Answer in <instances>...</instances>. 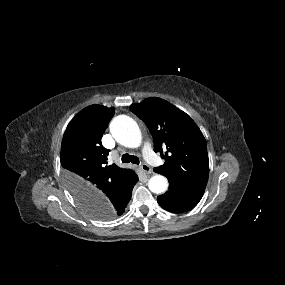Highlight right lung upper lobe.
<instances>
[{
	"label": "right lung upper lobe",
	"instance_id": "cb5924a9",
	"mask_svg": "<svg viewBox=\"0 0 285 285\" xmlns=\"http://www.w3.org/2000/svg\"><path fill=\"white\" fill-rule=\"evenodd\" d=\"M114 108L92 105L68 124L61 144V165L76 200L84 206L106 196L130 178L133 171L113 164L106 166L110 150L101 144L102 134Z\"/></svg>",
	"mask_w": 285,
	"mask_h": 285
}]
</instances>
